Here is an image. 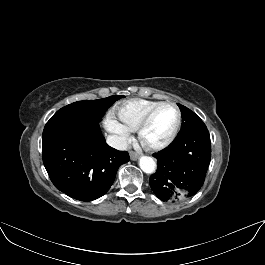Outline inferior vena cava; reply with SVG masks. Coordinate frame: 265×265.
<instances>
[{"label":"inferior vena cava","mask_w":265,"mask_h":265,"mask_svg":"<svg viewBox=\"0 0 265 265\" xmlns=\"http://www.w3.org/2000/svg\"><path fill=\"white\" fill-rule=\"evenodd\" d=\"M106 142L109 146H111L117 150H127V148H128L127 141L121 136L109 135L106 138Z\"/></svg>","instance_id":"1"}]
</instances>
